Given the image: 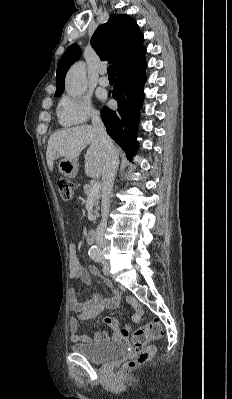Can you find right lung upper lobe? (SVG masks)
<instances>
[{"instance_id":"cb5924a9","label":"right lung upper lobe","mask_w":232,"mask_h":399,"mask_svg":"<svg viewBox=\"0 0 232 399\" xmlns=\"http://www.w3.org/2000/svg\"><path fill=\"white\" fill-rule=\"evenodd\" d=\"M91 46L101 60L112 63L114 72L124 64L144 55L143 34L135 20L128 15L112 14L107 23L97 27ZM80 49L70 45L60 58L56 72V93L64 91L65 75L70 66L79 59Z\"/></svg>"}]
</instances>
